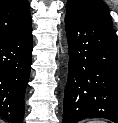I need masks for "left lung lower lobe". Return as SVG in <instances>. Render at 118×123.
Segmentation results:
<instances>
[{"instance_id":"left-lung-lower-lobe-1","label":"left lung lower lobe","mask_w":118,"mask_h":123,"mask_svg":"<svg viewBox=\"0 0 118 123\" xmlns=\"http://www.w3.org/2000/svg\"><path fill=\"white\" fill-rule=\"evenodd\" d=\"M69 45L63 123L105 118L118 123V39L109 24L65 17Z\"/></svg>"}]
</instances>
